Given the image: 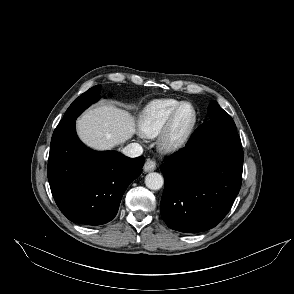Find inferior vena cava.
Here are the masks:
<instances>
[{
	"label": "inferior vena cava",
	"instance_id": "1",
	"mask_svg": "<svg viewBox=\"0 0 294 294\" xmlns=\"http://www.w3.org/2000/svg\"><path fill=\"white\" fill-rule=\"evenodd\" d=\"M122 153L128 157L135 158L143 153V148L138 143H130L122 149Z\"/></svg>",
	"mask_w": 294,
	"mask_h": 294
}]
</instances>
